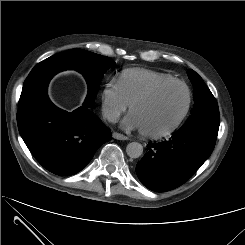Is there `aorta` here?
Here are the masks:
<instances>
[{
    "label": "aorta",
    "instance_id": "obj_1",
    "mask_svg": "<svg viewBox=\"0 0 245 245\" xmlns=\"http://www.w3.org/2000/svg\"><path fill=\"white\" fill-rule=\"evenodd\" d=\"M126 153L130 158H139L143 153V146L138 142H131L126 147Z\"/></svg>",
    "mask_w": 245,
    "mask_h": 245
}]
</instances>
